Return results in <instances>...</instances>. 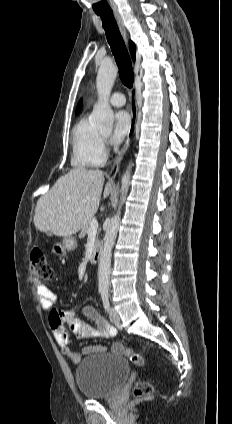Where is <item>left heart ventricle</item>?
<instances>
[{
  "mask_svg": "<svg viewBox=\"0 0 232 424\" xmlns=\"http://www.w3.org/2000/svg\"><path fill=\"white\" fill-rule=\"evenodd\" d=\"M105 135L107 134V131L106 132H103Z\"/></svg>",
  "mask_w": 232,
  "mask_h": 424,
  "instance_id": "left-heart-ventricle-1",
  "label": "left heart ventricle"
}]
</instances>
